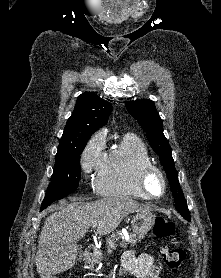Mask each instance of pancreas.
Here are the masks:
<instances>
[{
    "mask_svg": "<svg viewBox=\"0 0 221 278\" xmlns=\"http://www.w3.org/2000/svg\"><path fill=\"white\" fill-rule=\"evenodd\" d=\"M121 238H122L121 237V233L120 232H116V233H113L111 235V237H108L106 239L107 253L108 254H112L113 249H116V247L118 245H120L122 248H127L128 244L136 245V243L138 241H140V237H137L135 234H131L130 235V239H129L128 242H122V243L117 244V241L119 239H121Z\"/></svg>",
    "mask_w": 221,
    "mask_h": 278,
    "instance_id": "pancreas-1",
    "label": "pancreas"
}]
</instances>
